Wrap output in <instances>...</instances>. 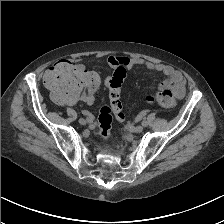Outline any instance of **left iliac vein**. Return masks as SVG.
Instances as JSON below:
<instances>
[{
    "mask_svg": "<svg viewBox=\"0 0 224 224\" xmlns=\"http://www.w3.org/2000/svg\"><path fill=\"white\" fill-rule=\"evenodd\" d=\"M143 131V127L141 125H138L134 128L135 133H141Z\"/></svg>",
    "mask_w": 224,
    "mask_h": 224,
    "instance_id": "4c4485c4",
    "label": "left iliac vein"
}]
</instances>
